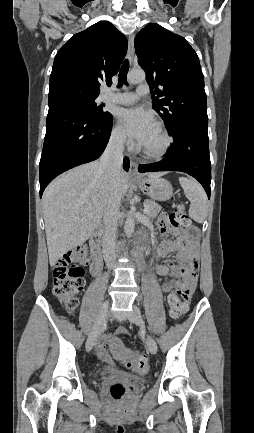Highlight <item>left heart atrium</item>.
I'll list each match as a JSON object with an SVG mask.
<instances>
[{"label":"left heart atrium","instance_id":"obj_1","mask_svg":"<svg viewBox=\"0 0 254 433\" xmlns=\"http://www.w3.org/2000/svg\"><path fill=\"white\" fill-rule=\"evenodd\" d=\"M118 116L124 132L140 145L155 127L152 115L140 108L122 109Z\"/></svg>","mask_w":254,"mask_h":433}]
</instances>
